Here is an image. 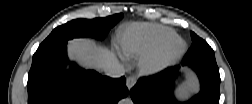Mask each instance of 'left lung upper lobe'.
<instances>
[{
  "label": "left lung upper lobe",
  "instance_id": "left-lung-upper-lobe-1",
  "mask_svg": "<svg viewBox=\"0 0 252 104\" xmlns=\"http://www.w3.org/2000/svg\"><path fill=\"white\" fill-rule=\"evenodd\" d=\"M191 38L193 43L184 57L185 62H216L214 51L207 42L197 36L194 32H191Z\"/></svg>",
  "mask_w": 252,
  "mask_h": 104
}]
</instances>
